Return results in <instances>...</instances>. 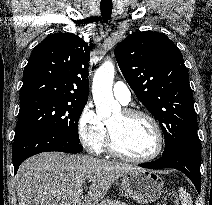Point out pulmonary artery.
<instances>
[{"label":"pulmonary artery","instance_id":"1","mask_svg":"<svg viewBox=\"0 0 212 205\" xmlns=\"http://www.w3.org/2000/svg\"><path fill=\"white\" fill-rule=\"evenodd\" d=\"M113 94L116 97V99H118L124 105L128 104L131 100L130 89L125 83L121 81H118L114 84Z\"/></svg>","mask_w":212,"mask_h":205}]
</instances>
